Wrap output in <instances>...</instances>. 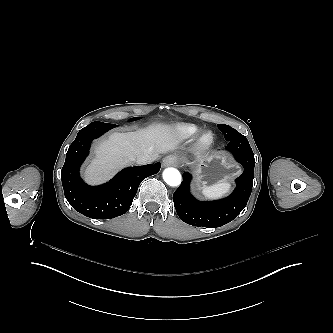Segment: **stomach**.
I'll use <instances>...</instances> for the list:
<instances>
[{
	"label": "stomach",
	"mask_w": 333,
	"mask_h": 333,
	"mask_svg": "<svg viewBox=\"0 0 333 333\" xmlns=\"http://www.w3.org/2000/svg\"><path fill=\"white\" fill-rule=\"evenodd\" d=\"M197 168L200 187H206L222 179H230L240 172L239 166L230 163L224 156L204 158Z\"/></svg>",
	"instance_id": "1"
}]
</instances>
